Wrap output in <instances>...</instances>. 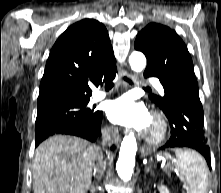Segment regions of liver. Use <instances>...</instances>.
Instances as JSON below:
<instances>
[{
    "label": "liver",
    "instance_id": "liver-1",
    "mask_svg": "<svg viewBox=\"0 0 221 193\" xmlns=\"http://www.w3.org/2000/svg\"><path fill=\"white\" fill-rule=\"evenodd\" d=\"M100 147L73 136L41 143L33 159V193H87Z\"/></svg>",
    "mask_w": 221,
    "mask_h": 193
}]
</instances>
